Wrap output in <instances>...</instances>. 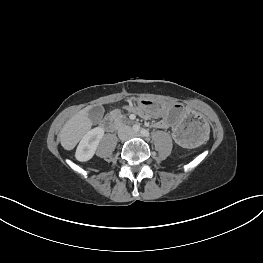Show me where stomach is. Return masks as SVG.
<instances>
[{
    "mask_svg": "<svg viewBox=\"0 0 263 263\" xmlns=\"http://www.w3.org/2000/svg\"><path fill=\"white\" fill-rule=\"evenodd\" d=\"M138 104L159 122L173 131L174 139L183 147L202 144L208 137L209 121L181 103L164 104L141 98Z\"/></svg>",
    "mask_w": 263,
    "mask_h": 263,
    "instance_id": "obj_1",
    "label": "stomach"
}]
</instances>
